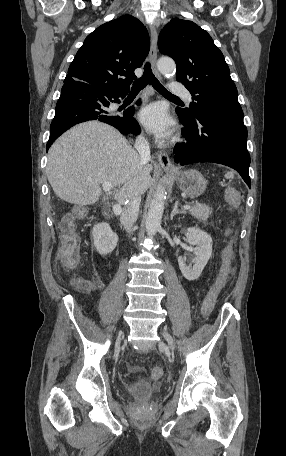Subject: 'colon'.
Instances as JSON below:
<instances>
[{
	"label": "colon",
	"instance_id": "1",
	"mask_svg": "<svg viewBox=\"0 0 286 456\" xmlns=\"http://www.w3.org/2000/svg\"><path fill=\"white\" fill-rule=\"evenodd\" d=\"M228 203L235 207L239 203L238 191L233 187H227L225 190ZM79 247L80 240L76 232L73 220H67L64 223L62 233V245L59 251V263L65 270L74 269L79 262ZM233 250L230 244L224 253L223 263L216 284L209 290L204 297L201 312L203 316H208L213 310L219 290L226 283L228 278L235 273V268L232 266ZM71 283L79 289L87 290L93 286L92 282L86 278H73ZM164 370L161 366H155L151 370V378L159 380L163 377Z\"/></svg>",
	"mask_w": 286,
	"mask_h": 456
}]
</instances>
